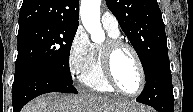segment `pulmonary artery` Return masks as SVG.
Masks as SVG:
<instances>
[{
	"instance_id": "obj_1",
	"label": "pulmonary artery",
	"mask_w": 193,
	"mask_h": 112,
	"mask_svg": "<svg viewBox=\"0 0 193 112\" xmlns=\"http://www.w3.org/2000/svg\"><path fill=\"white\" fill-rule=\"evenodd\" d=\"M101 23L102 26L115 34H118L119 31V23L116 17L109 11H105L101 16Z\"/></svg>"
}]
</instances>
